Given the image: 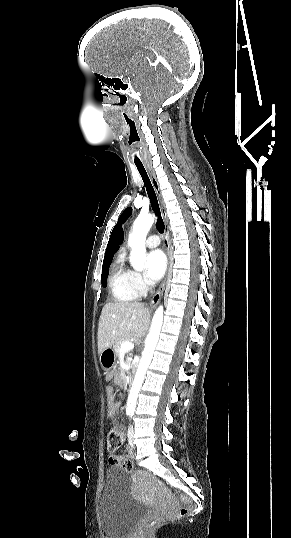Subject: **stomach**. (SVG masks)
I'll list each match as a JSON object with an SVG mask.
<instances>
[{
    "label": "stomach",
    "mask_w": 291,
    "mask_h": 538,
    "mask_svg": "<svg viewBox=\"0 0 291 538\" xmlns=\"http://www.w3.org/2000/svg\"><path fill=\"white\" fill-rule=\"evenodd\" d=\"M117 355L114 348L109 347L100 354V363L104 369L114 366Z\"/></svg>",
    "instance_id": "stomach-1"
}]
</instances>
